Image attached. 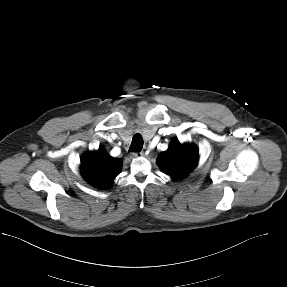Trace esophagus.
Segmentation results:
<instances>
[{
    "label": "esophagus",
    "instance_id": "34e87169",
    "mask_svg": "<svg viewBox=\"0 0 287 287\" xmlns=\"http://www.w3.org/2000/svg\"><path fill=\"white\" fill-rule=\"evenodd\" d=\"M143 155H144L143 152H134V153H132L133 157H142Z\"/></svg>",
    "mask_w": 287,
    "mask_h": 287
}]
</instances>
